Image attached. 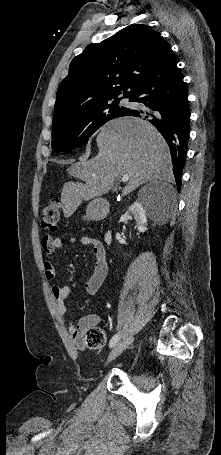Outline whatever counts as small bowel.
<instances>
[{
  "label": "small bowel",
  "mask_w": 221,
  "mask_h": 455,
  "mask_svg": "<svg viewBox=\"0 0 221 455\" xmlns=\"http://www.w3.org/2000/svg\"><path fill=\"white\" fill-rule=\"evenodd\" d=\"M64 244H82L89 245L92 247L94 255L96 257V265L93 271V274L85 283L86 291L94 295L98 289L102 286L103 283L109 282L113 283L108 276V265L106 261V250L103 244L97 240L90 237H77L70 236L66 238L44 236L42 239V248L46 256L51 257L57 249H59ZM43 270L45 279L52 281L55 278L56 272L53 263L50 260H45L43 262ZM52 294L56 300L59 314L62 317H66L68 314L67 308V298L71 292V289L68 285H53L51 287ZM97 323V319L92 316H86L79 320L78 323L69 321L68 331L73 337L75 345L83 350L84 349V332L89 327Z\"/></svg>",
  "instance_id": "small-bowel-1"
}]
</instances>
